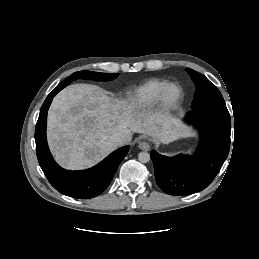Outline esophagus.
Masks as SVG:
<instances>
[{
	"instance_id": "obj_1",
	"label": "esophagus",
	"mask_w": 259,
	"mask_h": 259,
	"mask_svg": "<svg viewBox=\"0 0 259 259\" xmlns=\"http://www.w3.org/2000/svg\"><path fill=\"white\" fill-rule=\"evenodd\" d=\"M138 147L141 150L148 151L150 149V144L147 141H140L138 143Z\"/></svg>"
}]
</instances>
